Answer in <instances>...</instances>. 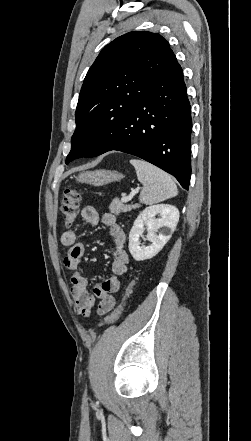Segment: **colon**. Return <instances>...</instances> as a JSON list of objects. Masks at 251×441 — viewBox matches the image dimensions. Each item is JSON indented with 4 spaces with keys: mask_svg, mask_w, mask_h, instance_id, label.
Masks as SVG:
<instances>
[{
    "mask_svg": "<svg viewBox=\"0 0 251 441\" xmlns=\"http://www.w3.org/2000/svg\"><path fill=\"white\" fill-rule=\"evenodd\" d=\"M80 200H81V190L79 189L65 190L62 200L61 211L66 226H70L76 220ZM132 285L133 284H131L127 288L122 302L107 317H105L103 321L99 323V327L111 325L121 317L126 300L132 291Z\"/></svg>",
    "mask_w": 251,
    "mask_h": 441,
    "instance_id": "1",
    "label": "colon"
}]
</instances>
